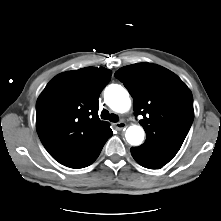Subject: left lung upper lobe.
Masks as SVG:
<instances>
[{"label":"left lung upper lobe","instance_id":"obj_1","mask_svg":"<svg viewBox=\"0 0 221 221\" xmlns=\"http://www.w3.org/2000/svg\"><path fill=\"white\" fill-rule=\"evenodd\" d=\"M115 77L134 99V114L146 141L176 155L194 119L189 88L173 72L158 65L138 63L120 68Z\"/></svg>","mask_w":221,"mask_h":221}]
</instances>
